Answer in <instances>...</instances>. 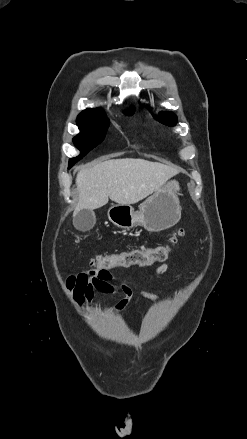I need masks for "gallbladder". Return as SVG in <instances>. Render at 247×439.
Wrapping results in <instances>:
<instances>
[{"label": "gallbladder", "mask_w": 247, "mask_h": 439, "mask_svg": "<svg viewBox=\"0 0 247 439\" xmlns=\"http://www.w3.org/2000/svg\"><path fill=\"white\" fill-rule=\"evenodd\" d=\"M96 223V216L92 210L82 209L73 218L74 227L79 231H89Z\"/></svg>", "instance_id": "obj_1"}]
</instances>
